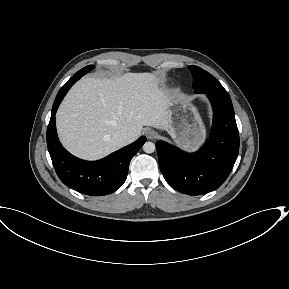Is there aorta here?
<instances>
[{
    "instance_id": "aorta-1",
    "label": "aorta",
    "mask_w": 289,
    "mask_h": 289,
    "mask_svg": "<svg viewBox=\"0 0 289 289\" xmlns=\"http://www.w3.org/2000/svg\"><path fill=\"white\" fill-rule=\"evenodd\" d=\"M156 147L153 142H145L143 145V150L146 153H153L155 151Z\"/></svg>"
}]
</instances>
